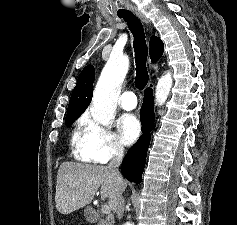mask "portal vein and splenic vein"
I'll use <instances>...</instances> for the list:
<instances>
[{"instance_id": "1", "label": "portal vein and splenic vein", "mask_w": 237, "mask_h": 225, "mask_svg": "<svg viewBox=\"0 0 237 225\" xmlns=\"http://www.w3.org/2000/svg\"><path fill=\"white\" fill-rule=\"evenodd\" d=\"M101 210L105 214H110V212H111L110 206H108V205H102Z\"/></svg>"}]
</instances>
